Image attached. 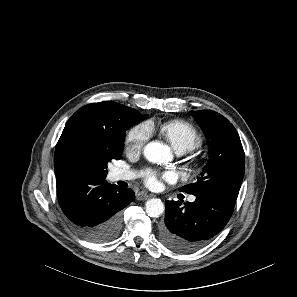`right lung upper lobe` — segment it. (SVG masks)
I'll return each instance as SVG.
<instances>
[{
  "label": "right lung upper lobe",
  "mask_w": 297,
  "mask_h": 297,
  "mask_svg": "<svg viewBox=\"0 0 297 297\" xmlns=\"http://www.w3.org/2000/svg\"><path fill=\"white\" fill-rule=\"evenodd\" d=\"M123 108L124 105L105 101L88 104L71 116L55 149L57 181L80 172L79 152L83 147L119 144L125 127Z\"/></svg>",
  "instance_id": "1"
}]
</instances>
